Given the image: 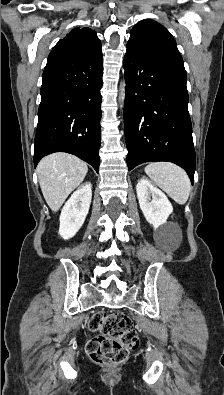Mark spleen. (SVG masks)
<instances>
[{"instance_id":"1","label":"spleen","mask_w":224,"mask_h":395,"mask_svg":"<svg viewBox=\"0 0 224 395\" xmlns=\"http://www.w3.org/2000/svg\"><path fill=\"white\" fill-rule=\"evenodd\" d=\"M145 172L176 203L183 205L187 202L191 183L181 167L168 162H155L148 164Z\"/></svg>"}]
</instances>
